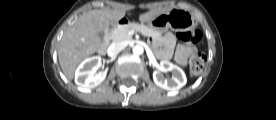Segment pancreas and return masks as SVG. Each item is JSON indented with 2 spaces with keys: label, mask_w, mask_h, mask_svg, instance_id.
Listing matches in <instances>:
<instances>
[{
  "label": "pancreas",
  "mask_w": 276,
  "mask_h": 120,
  "mask_svg": "<svg viewBox=\"0 0 276 120\" xmlns=\"http://www.w3.org/2000/svg\"><path fill=\"white\" fill-rule=\"evenodd\" d=\"M131 30L138 31V32L142 33L144 36H148V37H155V36L159 35L158 32L150 29L147 26H144L142 24L129 23L127 25H123V26L116 28L112 32V40L114 42H118V41H126V40L131 39V35H129V32Z\"/></svg>",
  "instance_id": "obj_1"
}]
</instances>
